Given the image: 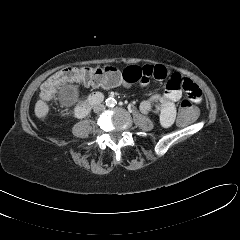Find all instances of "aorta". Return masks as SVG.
Masks as SVG:
<instances>
[{
    "label": "aorta",
    "instance_id": "762f6f07",
    "mask_svg": "<svg viewBox=\"0 0 240 240\" xmlns=\"http://www.w3.org/2000/svg\"><path fill=\"white\" fill-rule=\"evenodd\" d=\"M114 104H115V100H114L113 98H108V99L106 100V105H107L108 107L114 106Z\"/></svg>",
    "mask_w": 240,
    "mask_h": 240
}]
</instances>
